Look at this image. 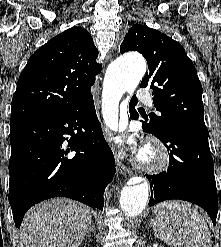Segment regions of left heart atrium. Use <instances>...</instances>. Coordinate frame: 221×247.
I'll return each instance as SVG.
<instances>
[{
  "instance_id": "1",
  "label": "left heart atrium",
  "mask_w": 221,
  "mask_h": 247,
  "mask_svg": "<svg viewBox=\"0 0 221 247\" xmlns=\"http://www.w3.org/2000/svg\"><path fill=\"white\" fill-rule=\"evenodd\" d=\"M116 141L118 143L126 142L130 146H133L134 145V141L131 138H129L127 140H124L123 138H118V139H116Z\"/></svg>"
}]
</instances>
